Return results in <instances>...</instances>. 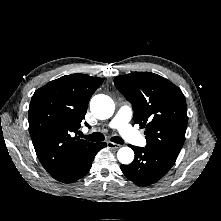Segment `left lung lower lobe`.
Instances as JSON below:
<instances>
[{
	"mask_svg": "<svg viewBox=\"0 0 221 221\" xmlns=\"http://www.w3.org/2000/svg\"><path fill=\"white\" fill-rule=\"evenodd\" d=\"M129 146L134 150V161L130 165H121L120 169L130 181L139 186L157 182L170 170L177 158L147 146Z\"/></svg>",
	"mask_w": 221,
	"mask_h": 221,
	"instance_id": "0a47b994",
	"label": "left lung lower lobe"
}]
</instances>
